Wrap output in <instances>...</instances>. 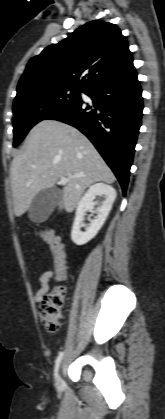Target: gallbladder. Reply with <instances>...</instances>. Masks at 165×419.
Here are the masks:
<instances>
[{
    "label": "gallbladder",
    "instance_id": "gallbladder-1",
    "mask_svg": "<svg viewBox=\"0 0 165 419\" xmlns=\"http://www.w3.org/2000/svg\"><path fill=\"white\" fill-rule=\"evenodd\" d=\"M63 193L56 188L41 190L32 200L29 208L31 221L41 223L47 220L54 208L62 201Z\"/></svg>",
    "mask_w": 165,
    "mask_h": 419
}]
</instances>
